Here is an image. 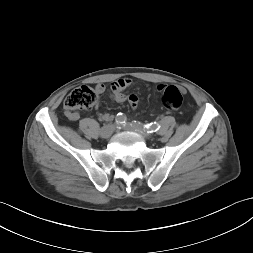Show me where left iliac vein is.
Segmentation results:
<instances>
[{"mask_svg":"<svg viewBox=\"0 0 253 253\" xmlns=\"http://www.w3.org/2000/svg\"><path fill=\"white\" fill-rule=\"evenodd\" d=\"M125 130H128V131H134L138 134H140L141 136H143L144 138L146 139H150L152 138V134H150L149 132H147L142 124H138V125H131V124H127L123 127Z\"/></svg>","mask_w":253,"mask_h":253,"instance_id":"obj_1","label":"left iliac vein"}]
</instances>
